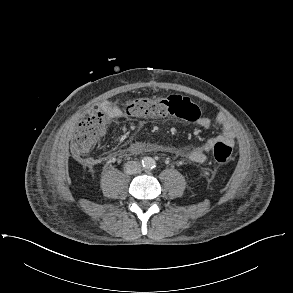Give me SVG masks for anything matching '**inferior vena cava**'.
Returning a JSON list of instances; mask_svg holds the SVG:
<instances>
[{"instance_id": "obj_1", "label": "inferior vena cava", "mask_w": 293, "mask_h": 293, "mask_svg": "<svg viewBox=\"0 0 293 293\" xmlns=\"http://www.w3.org/2000/svg\"><path fill=\"white\" fill-rule=\"evenodd\" d=\"M141 170V164L137 161H128L124 164V171L127 174H136L140 172Z\"/></svg>"}]
</instances>
